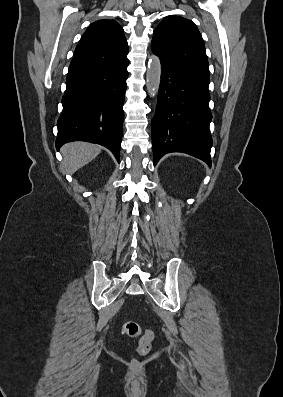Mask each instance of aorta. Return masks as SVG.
I'll list each match as a JSON object with an SVG mask.
<instances>
[{
    "label": "aorta",
    "instance_id": "obj_1",
    "mask_svg": "<svg viewBox=\"0 0 283 397\" xmlns=\"http://www.w3.org/2000/svg\"><path fill=\"white\" fill-rule=\"evenodd\" d=\"M161 81V63L159 57L151 55L146 72V85L148 94L154 96L158 93Z\"/></svg>",
    "mask_w": 283,
    "mask_h": 397
}]
</instances>
